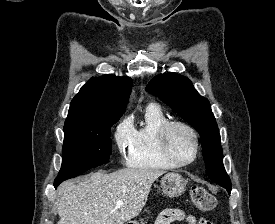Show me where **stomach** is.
<instances>
[{"mask_svg":"<svg viewBox=\"0 0 275 224\" xmlns=\"http://www.w3.org/2000/svg\"><path fill=\"white\" fill-rule=\"evenodd\" d=\"M186 180L179 174L168 173L164 175L160 181V187L163 194L169 197H178L184 193L186 188ZM127 224H139L137 221H131ZM141 224H145L141 222Z\"/></svg>","mask_w":275,"mask_h":224,"instance_id":"1","label":"stomach"}]
</instances>
